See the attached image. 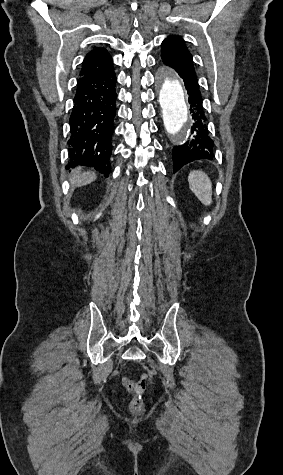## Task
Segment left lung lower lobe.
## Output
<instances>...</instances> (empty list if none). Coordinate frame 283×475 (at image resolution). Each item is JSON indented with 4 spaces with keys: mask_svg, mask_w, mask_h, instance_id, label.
Here are the masks:
<instances>
[{
    "mask_svg": "<svg viewBox=\"0 0 283 475\" xmlns=\"http://www.w3.org/2000/svg\"><path fill=\"white\" fill-rule=\"evenodd\" d=\"M162 59L164 64L175 69L183 79L193 119L189 140L181 146H175L172 150L175 173L182 166L194 160H212L214 158V142L208 131L207 117L193 62L168 60L164 54H162Z\"/></svg>",
    "mask_w": 283,
    "mask_h": 475,
    "instance_id": "obj_1",
    "label": "left lung lower lobe"
}]
</instances>
